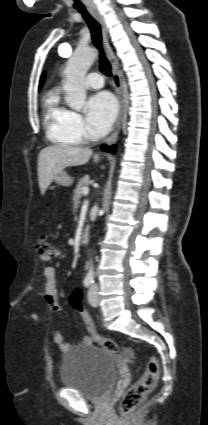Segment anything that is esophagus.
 <instances>
[{
    "label": "esophagus",
    "mask_w": 208,
    "mask_h": 425,
    "mask_svg": "<svg viewBox=\"0 0 208 425\" xmlns=\"http://www.w3.org/2000/svg\"><path fill=\"white\" fill-rule=\"evenodd\" d=\"M90 14L99 22L101 29H102V35H103V40H104V45H105V49H106V54L108 57V60L112 66V79H113V86L119 101V115L118 118L116 120V123L113 127L112 133L110 134V136L106 139V144L107 145H112L114 144L117 139H118V135L120 132V128H121V121H122V117H123V112H124V101H123V95H122V89H121V78L119 75V62H118V58L115 56V53L110 45V41H109V35H108V28L107 25L105 23V20L103 18V16L99 13V11L97 10L96 7H89L88 8Z\"/></svg>",
    "instance_id": "1"
}]
</instances>
